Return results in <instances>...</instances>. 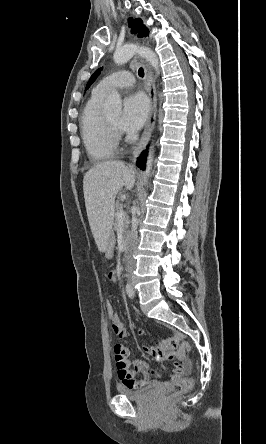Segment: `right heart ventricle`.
Instances as JSON below:
<instances>
[{
	"label": "right heart ventricle",
	"mask_w": 266,
	"mask_h": 444,
	"mask_svg": "<svg viewBox=\"0 0 266 444\" xmlns=\"http://www.w3.org/2000/svg\"><path fill=\"white\" fill-rule=\"evenodd\" d=\"M105 95L95 93L87 101L81 117V135L85 149L95 161L111 158L116 144L109 138L105 129L106 116L101 112Z\"/></svg>",
	"instance_id": "e07e8e85"
}]
</instances>
